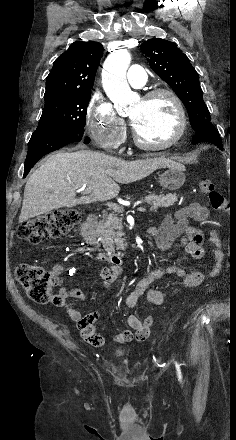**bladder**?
I'll return each instance as SVG.
<instances>
[{
	"instance_id": "31cf9c89",
	"label": "bladder",
	"mask_w": 236,
	"mask_h": 440,
	"mask_svg": "<svg viewBox=\"0 0 236 440\" xmlns=\"http://www.w3.org/2000/svg\"><path fill=\"white\" fill-rule=\"evenodd\" d=\"M127 349L123 346H116L113 351H112V355L115 358H120L122 357L125 353H126Z\"/></svg>"
}]
</instances>
